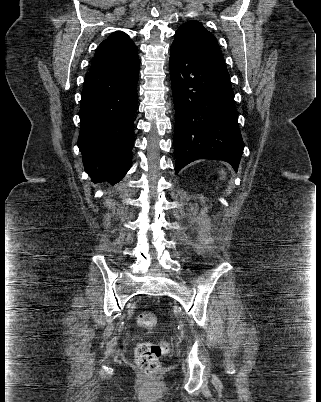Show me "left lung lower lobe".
<instances>
[{"label": "left lung lower lobe", "mask_w": 321, "mask_h": 402, "mask_svg": "<svg viewBox=\"0 0 321 402\" xmlns=\"http://www.w3.org/2000/svg\"><path fill=\"white\" fill-rule=\"evenodd\" d=\"M170 52L175 173L201 158L224 160L237 170L244 143L225 62L175 44Z\"/></svg>", "instance_id": "left-lung-lower-lobe-1"}]
</instances>
